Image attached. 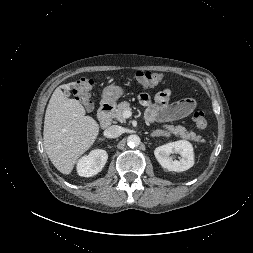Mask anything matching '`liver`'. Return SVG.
Listing matches in <instances>:
<instances>
[{"label":"liver","mask_w":253,"mask_h":253,"mask_svg":"<svg viewBox=\"0 0 253 253\" xmlns=\"http://www.w3.org/2000/svg\"><path fill=\"white\" fill-rule=\"evenodd\" d=\"M75 82L55 89L48 103L43 142L52 164L63 174H70L80 156L94 143L99 125L91 116H85L84 107L69 99L62 89L70 90Z\"/></svg>","instance_id":"6515ba94"}]
</instances>
